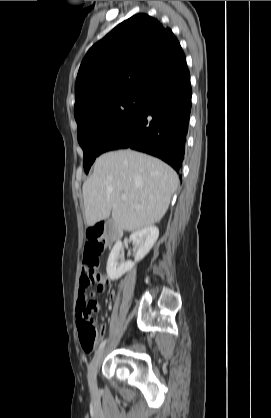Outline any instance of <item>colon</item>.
<instances>
[{
  "label": "colon",
  "instance_id": "1",
  "mask_svg": "<svg viewBox=\"0 0 271 418\" xmlns=\"http://www.w3.org/2000/svg\"><path fill=\"white\" fill-rule=\"evenodd\" d=\"M109 229L104 222H98L89 227L86 231V244L84 248L85 260L89 262L90 272L86 279L87 283L92 284L98 272V256L103 252L108 238ZM87 299L86 293L82 294V300ZM78 331L82 348L86 352H90L96 346L101 330L93 321V314H80L78 319Z\"/></svg>",
  "mask_w": 271,
  "mask_h": 418
}]
</instances>
